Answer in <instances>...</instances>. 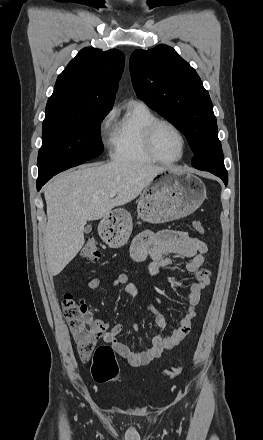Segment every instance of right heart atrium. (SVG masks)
Returning <instances> with one entry per match:
<instances>
[{"label": "right heart atrium", "instance_id": "obj_1", "mask_svg": "<svg viewBox=\"0 0 263 440\" xmlns=\"http://www.w3.org/2000/svg\"><path fill=\"white\" fill-rule=\"evenodd\" d=\"M115 116L113 110L107 112L100 122V134L106 147L111 148V139L113 135L112 122Z\"/></svg>", "mask_w": 263, "mask_h": 440}]
</instances>
